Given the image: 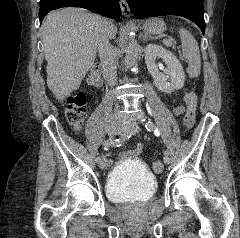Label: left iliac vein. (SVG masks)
<instances>
[{"mask_svg": "<svg viewBox=\"0 0 240 238\" xmlns=\"http://www.w3.org/2000/svg\"><path fill=\"white\" fill-rule=\"evenodd\" d=\"M155 126V125H154ZM140 131V128L137 124H134V123H129V124H126L124 127H123V133H128V132H131V133H138ZM163 160L166 164H169L170 163V158L168 157V155H164L163 157Z\"/></svg>", "mask_w": 240, "mask_h": 238, "instance_id": "obj_1", "label": "left iliac vein"}]
</instances>
